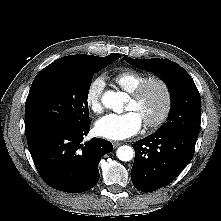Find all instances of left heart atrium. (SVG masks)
Wrapping results in <instances>:
<instances>
[{"label": "left heart atrium", "instance_id": "left-heart-atrium-1", "mask_svg": "<svg viewBox=\"0 0 221 221\" xmlns=\"http://www.w3.org/2000/svg\"><path fill=\"white\" fill-rule=\"evenodd\" d=\"M142 126V120L135 111L123 114H108L95 124L96 133L109 140H123L135 135Z\"/></svg>", "mask_w": 221, "mask_h": 221}]
</instances>
